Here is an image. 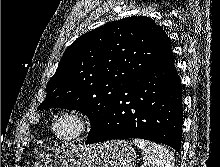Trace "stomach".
I'll return each mask as SVG.
<instances>
[{
    "label": "stomach",
    "mask_w": 220,
    "mask_h": 167,
    "mask_svg": "<svg viewBox=\"0 0 220 167\" xmlns=\"http://www.w3.org/2000/svg\"><path fill=\"white\" fill-rule=\"evenodd\" d=\"M136 152L131 144L114 140L88 147H73L37 159L34 167H134Z\"/></svg>",
    "instance_id": "0dacf381"
}]
</instances>
